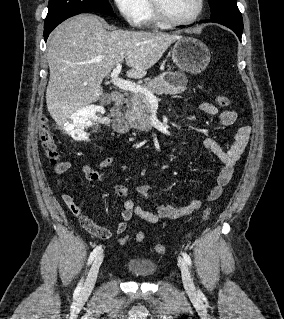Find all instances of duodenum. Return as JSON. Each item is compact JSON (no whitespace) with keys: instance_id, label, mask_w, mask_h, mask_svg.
I'll use <instances>...</instances> for the list:
<instances>
[{"instance_id":"1","label":"duodenum","mask_w":284,"mask_h":319,"mask_svg":"<svg viewBox=\"0 0 284 319\" xmlns=\"http://www.w3.org/2000/svg\"><path fill=\"white\" fill-rule=\"evenodd\" d=\"M122 101L123 96L121 93L114 92L112 94L113 107L111 109L110 115L113 129L118 133L126 134L130 131V125L120 111Z\"/></svg>"}]
</instances>
